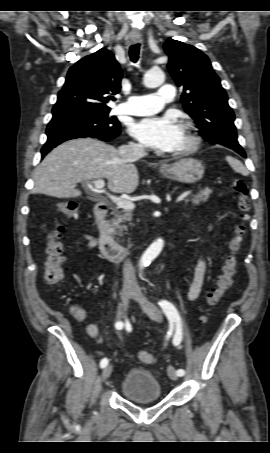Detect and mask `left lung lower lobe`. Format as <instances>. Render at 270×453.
I'll use <instances>...</instances> for the list:
<instances>
[{
  "label": "left lung lower lobe",
  "instance_id": "left-lung-lower-lobe-1",
  "mask_svg": "<svg viewBox=\"0 0 270 453\" xmlns=\"http://www.w3.org/2000/svg\"><path fill=\"white\" fill-rule=\"evenodd\" d=\"M231 149H233L234 151H236L237 153H239L241 156H243L244 158L246 157V154L244 152V150L242 149V147L240 145H237V146H231L229 147Z\"/></svg>",
  "mask_w": 270,
  "mask_h": 453
}]
</instances>
